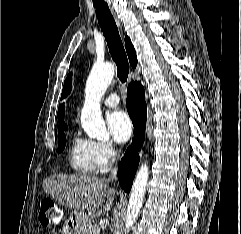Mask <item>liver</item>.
Segmentation results:
<instances>
[{
	"instance_id": "obj_1",
	"label": "liver",
	"mask_w": 241,
	"mask_h": 234,
	"mask_svg": "<svg viewBox=\"0 0 241 234\" xmlns=\"http://www.w3.org/2000/svg\"><path fill=\"white\" fill-rule=\"evenodd\" d=\"M43 189L71 209L88 214L98 210V215L110 210L116 194L105 179L86 174L51 175L43 181ZM104 197H107L106 204L99 210Z\"/></svg>"
}]
</instances>
